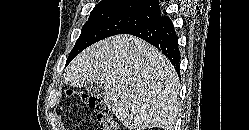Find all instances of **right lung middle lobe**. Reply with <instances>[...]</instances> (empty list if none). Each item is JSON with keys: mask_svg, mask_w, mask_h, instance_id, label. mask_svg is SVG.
Returning a JSON list of instances; mask_svg holds the SVG:
<instances>
[{"mask_svg": "<svg viewBox=\"0 0 249 130\" xmlns=\"http://www.w3.org/2000/svg\"><path fill=\"white\" fill-rule=\"evenodd\" d=\"M161 15L138 7L116 4L96 5L84 24L80 37L71 50L67 64L93 43L149 23Z\"/></svg>", "mask_w": 249, "mask_h": 130, "instance_id": "obj_1", "label": "right lung middle lobe"}]
</instances>
